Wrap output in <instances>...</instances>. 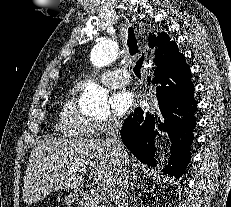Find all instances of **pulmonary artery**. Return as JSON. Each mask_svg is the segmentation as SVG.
<instances>
[{"mask_svg":"<svg viewBox=\"0 0 231 207\" xmlns=\"http://www.w3.org/2000/svg\"><path fill=\"white\" fill-rule=\"evenodd\" d=\"M96 79L100 80L108 87H120L129 83L130 76L126 69L121 68L113 71H105L96 76ZM83 82L77 83L78 87H82Z\"/></svg>","mask_w":231,"mask_h":207,"instance_id":"obj_1","label":"pulmonary artery"}]
</instances>
